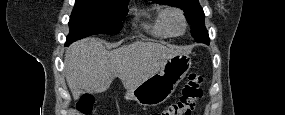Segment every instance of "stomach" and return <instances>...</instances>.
<instances>
[{
    "label": "stomach",
    "instance_id": "obj_1",
    "mask_svg": "<svg viewBox=\"0 0 285 115\" xmlns=\"http://www.w3.org/2000/svg\"><path fill=\"white\" fill-rule=\"evenodd\" d=\"M191 66L190 57L181 53L168 59L161 70L144 80L131 91L126 100H134L144 107H154L164 103L175 91L179 82L186 76Z\"/></svg>",
    "mask_w": 285,
    "mask_h": 115
}]
</instances>
